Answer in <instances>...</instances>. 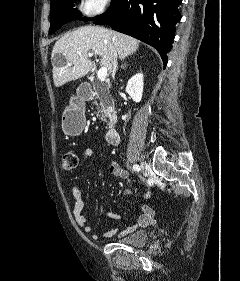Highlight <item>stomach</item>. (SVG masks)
<instances>
[{
  "label": "stomach",
  "instance_id": "1",
  "mask_svg": "<svg viewBox=\"0 0 240 281\" xmlns=\"http://www.w3.org/2000/svg\"><path fill=\"white\" fill-rule=\"evenodd\" d=\"M85 120L84 105L78 101H73L63 112L62 129L65 134L76 136L82 132Z\"/></svg>",
  "mask_w": 240,
  "mask_h": 281
}]
</instances>
